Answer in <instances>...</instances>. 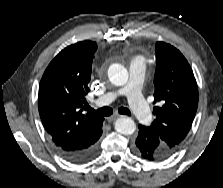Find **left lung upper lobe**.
<instances>
[{
	"label": "left lung upper lobe",
	"mask_w": 223,
	"mask_h": 188,
	"mask_svg": "<svg viewBox=\"0 0 223 188\" xmlns=\"http://www.w3.org/2000/svg\"><path fill=\"white\" fill-rule=\"evenodd\" d=\"M154 99L155 120L149 128L158 135L171 155L189 132L198 106V89L193 71L179 50L156 43Z\"/></svg>",
	"instance_id": "left-lung-upper-lobe-1"
}]
</instances>
